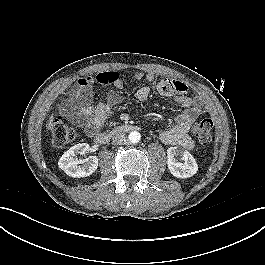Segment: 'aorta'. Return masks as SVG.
Wrapping results in <instances>:
<instances>
[{
    "instance_id": "762f6f07",
    "label": "aorta",
    "mask_w": 265,
    "mask_h": 265,
    "mask_svg": "<svg viewBox=\"0 0 265 265\" xmlns=\"http://www.w3.org/2000/svg\"><path fill=\"white\" fill-rule=\"evenodd\" d=\"M141 140V135L138 131H132L129 134V141L131 143H138Z\"/></svg>"
}]
</instances>
